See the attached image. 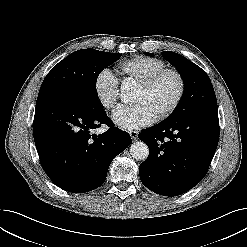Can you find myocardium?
<instances>
[{"instance_id": "obj_1", "label": "myocardium", "mask_w": 247, "mask_h": 247, "mask_svg": "<svg viewBox=\"0 0 247 247\" xmlns=\"http://www.w3.org/2000/svg\"><path fill=\"white\" fill-rule=\"evenodd\" d=\"M168 73L174 74L177 77L179 81V89L173 102L158 114V119H165L169 117L176 111V109L182 102L186 92V81L183 74L178 69L165 67L159 71L152 73L151 75L147 76L139 82V85L141 87L147 89L153 86L163 75Z\"/></svg>"}]
</instances>
